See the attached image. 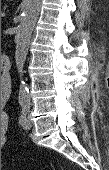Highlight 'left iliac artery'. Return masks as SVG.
I'll return each instance as SVG.
<instances>
[{
	"instance_id": "1",
	"label": "left iliac artery",
	"mask_w": 109,
	"mask_h": 170,
	"mask_svg": "<svg viewBox=\"0 0 109 170\" xmlns=\"http://www.w3.org/2000/svg\"><path fill=\"white\" fill-rule=\"evenodd\" d=\"M29 110V106L27 104L22 105V115L19 117V123L22 124L24 121V118L26 117V114Z\"/></svg>"
}]
</instances>
